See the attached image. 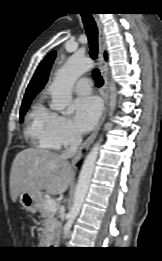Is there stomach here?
I'll list each match as a JSON object with an SVG mask.
<instances>
[{"mask_svg": "<svg viewBox=\"0 0 162 261\" xmlns=\"http://www.w3.org/2000/svg\"><path fill=\"white\" fill-rule=\"evenodd\" d=\"M19 201L26 211L34 213L39 209L41 195L21 193Z\"/></svg>", "mask_w": 162, "mask_h": 261, "instance_id": "0dacf381", "label": "stomach"}]
</instances>
